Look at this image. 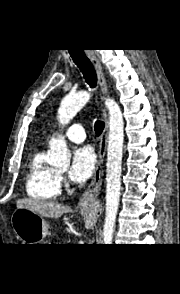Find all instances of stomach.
<instances>
[{"label":"stomach","instance_id":"0dacf381","mask_svg":"<svg viewBox=\"0 0 180 294\" xmlns=\"http://www.w3.org/2000/svg\"><path fill=\"white\" fill-rule=\"evenodd\" d=\"M11 223L23 244H40L48 234V224L43 216L25 208L13 212Z\"/></svg>","mask_w":180,"mask_h":294}]
</instances>
